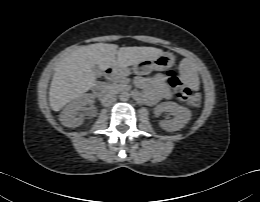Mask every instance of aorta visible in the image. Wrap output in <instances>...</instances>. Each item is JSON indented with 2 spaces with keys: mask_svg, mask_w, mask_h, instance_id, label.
<instances>
[{
  "mask_svg": "<svg viewBox=\"0 0 260 202\" xmlns=\"http://www.w3.org/2000/svg\"><path fill=\"white\" fill-rule=\"evenodd\" d=\"M129 96H130V95H129V93H128L127 91H123V92H121L120 95H119L120 100H122V101L128 100Z\"/></svg>",
  "mask_w": 260,
  "mask_h": 202,
  "instance_id": "obj_1",
  "label": "aorta"
}]
</instances>
